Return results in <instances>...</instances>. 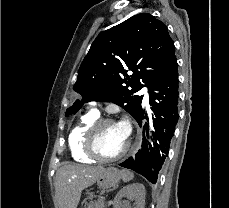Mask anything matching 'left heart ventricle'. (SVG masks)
Segmentation results:
<instances>
[{
	"label": "left heart ventricle",
	"mask_w": 229,
	"mask_h": 208,
	"mask_svg": "<svg viewBox=\"0 0 229 208\" xmlns=\"http://www.w3.org/2000/svg\"><path fill=\"white\" fill-rule=\"evenodd\" d=\"M127 142L117 124H106L100 130V139H95V152H101V157H116Z\"/></svg>",
	"instance_id": "left-heart-ventricle-1"
}]
</instances>
